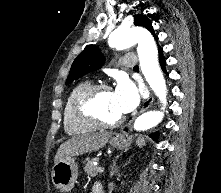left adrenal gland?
I'll return each mask as SVG.
<instances>
[{"label": "left adrenal gland", "mask_w": 221, "mask_h": 193, "mask_svg": "<svg viewBox=\"0 0 221 193\" xmlns=\"http://www.w3.org/2000/svg\"><path fill=\"white\" fill-rule=\"evenodd\" d=\"M118 169L119 168H116L115 170L112 171V173L114 174V173L118 172Z\"/></svg>", "instance_id": "left-adrenal-gland-1"}]
</instances>
